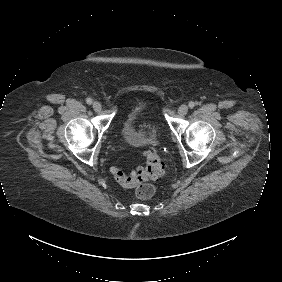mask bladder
Instances as JSON below:
<instances>
[{"label": "bladder", "instance_id": "bladder-1", "mask_svg": "<svg viewBox=\"0 0 282 282\" xmlns=\"http://www.w3.org/2000/svg\"><path fill=\"white\" fill-rule=\"evenodd\" d=\"M143 107H134L126 116L122 128V141L133 148H142L156 141L157 133L154 127L146 128L140 124Z\"/></svg>", "mask_w": 282, "mask_h": 282}]
</instances>
